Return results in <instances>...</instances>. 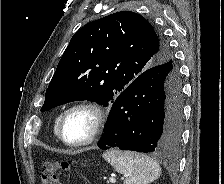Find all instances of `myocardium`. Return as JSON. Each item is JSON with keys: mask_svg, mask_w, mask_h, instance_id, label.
<instances>
[{"mask_svg": "<svg viewBox=\"0 0 224 184\" xmlns=\"http://www.w3.org/2000/svg\"><path fill=\"white\" fill-rule=\"evenodd\" d=\"M76 110L90 111L94 116V124L91 133L86 139L79 142H71L64 137L63 126L68 115ZM107 116V111L101 104L90 100L78 101L66 108L60 115L57 125V136L62 143L72 148H82L88 146L94 143L102 135L106 126Z\"/></svg>", "mask_w": 224, "mask_h": 184, "instance_id": "1", "label": "myocardium"}]
</instances>
